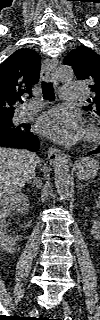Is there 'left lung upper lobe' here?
Segmentation results:
<instances>
[{
  "mask_svg": "<svg viewBox=\"0 0 100 320\" xmlns=\"http://www.w3.org/2000/svg\"><path fill=\"white\" fill-rule=\"evenodd\" d=\"M64 64L73 67L79 80L89 82L92 95L84 110L100 117V56L86 46L72 50L64 59Z\"/></svg>",
  "mask_w": 100,
  "mask_h": 320,
  "instance_id": "1",
  "label": "left lung upper lobe"
}]
</instances>
